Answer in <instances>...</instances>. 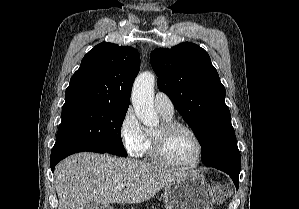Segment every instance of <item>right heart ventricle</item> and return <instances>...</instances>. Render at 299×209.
I'll return each mask as SVG.
<instances>
[{
    "label": "right heart ventricle",
    "instance_id": "right-heart-ventricle-1",
    "mask_svg": "<svg viewBox=\"0 0 299 209\" xmlns=\"http://www.w3.org/2000/svg\"><path fill=\"white\" fill-rule=\"evenodd\" d=\"M162 117H163L164 121H171V119H172V117H165V116H162ZM150 150H151V135L149 132H147L146 133V144L144 147L143 154H147L149 157H152Z\"/></svg>",
    "mask_w": 299,
    "mask_h": 209
}]
</instances>
